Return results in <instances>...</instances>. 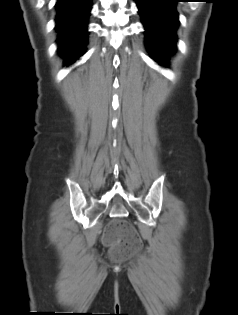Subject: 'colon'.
<instances>
[{
  "mask_svg": "<svg viewBox=\"0 0 238 315\" xmlns=\"http://www.w3.org/2000/svg\"><path fill=\"white\" fill-rule=\"evenodd\" d=\"M105 243L115 249V254L124 257L135 252L140 246V237L135 228L124 220L112 221L104 234Z\"/></svg>",
  "mask_w": 238,
  "mask_h": 315,
  "instance_id": "5ec220e1",
  "label": "colon"
}]
</instances>
